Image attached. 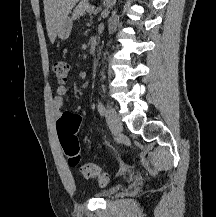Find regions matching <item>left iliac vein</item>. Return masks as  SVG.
Returning a JSON list of instances; mask_svg holds the SVG:
<instances>
[{
	"instance_id": "obj_1",
	"label": "left iliac vein",
	"mask_w": 216,
	"mask_h": 217,
	"mask_svg": "<svg viewBox=\"0 0 216 217\" xmlns=\"http://www.w3.org/2000/svg\"><path fill=\"white\" fill-rule=\"evenodd\" d=\"M105 117H106L107 124L113 134L117 135L122 132L123 130L122 122L113 108L111 107L107 108Z\"/></svg>"
}]
</instances>
